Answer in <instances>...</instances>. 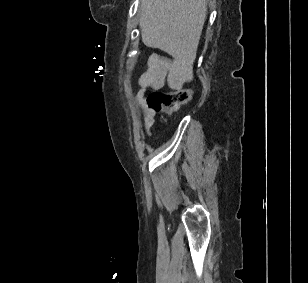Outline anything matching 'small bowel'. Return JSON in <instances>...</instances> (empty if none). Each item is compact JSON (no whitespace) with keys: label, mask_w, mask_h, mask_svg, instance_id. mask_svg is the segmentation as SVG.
<instances>
[{"label":"small bowel","mask_w":308,"mask_h":283,"mask_svg":"<svg viewBox=\"0 0 308 283\" xmlns=\"http://www.w3.org/2000/svg\"><path fill=\"white\" fill-rule=\"evenodd\" d=\"M191 67L181 64L176 60L166 57H152L149 60L148 68L139 76L140 90L137 93V100L140 108L145 112L144 127L149 133L154 123L156 112L150 109L145 99L148 89H162L168 79H187L191 76Z\"/></svg>","instance_id":"c3829d8e"}]
</instances>
